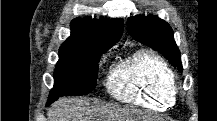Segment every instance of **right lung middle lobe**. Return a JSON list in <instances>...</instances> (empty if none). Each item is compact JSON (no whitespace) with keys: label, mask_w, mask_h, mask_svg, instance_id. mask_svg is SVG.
<instances>
[{"label":"right lung middle lobe","mask_w":217,"mask_h":121,"mask_svg":"<svg viewBox=\"0 0 217 121\" xmlns=\"http://www.w3.org/2000/svg\"><path fill=\"white\" fill-rule=\"evenodd\" d=\"M105 52L93 43L77 46H61L59 61L54 72V87L48 102L60 96L84 95L96 87L98 61Z\"/></svg>","instance_id":"obj_1"}]
</instances>
